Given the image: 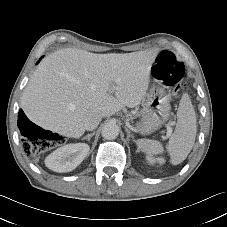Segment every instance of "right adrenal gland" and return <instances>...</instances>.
Wrapping results in <instances>:
<instances>
[{
    "instance_id": "2a0ac1e0",
    "label": "right adrenal gland",
    "mask_w": 227,
    "mask_h": 227,
    "mask_svg": "<svg viewBox=\"0 0 227 227\" xmlns=\"http://www.w3.org/2000/svg\"><path fill=\"white\" fill-rule=\"evenodd\" d=\"M94 135V132L93 133H90V134H87L85 137L82 138V140H88L90 141L91 137Z\"/></svg>"
}]
</instances>
